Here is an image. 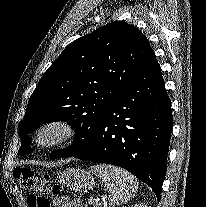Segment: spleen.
<instances>
[{
    "instance_id": "obj_1",
    "label": "spleen",
    "mask_w": 206,
    "mask_h": 207,
    "mask_svg": "<svg viewBox=\"0 0 206 207\" xmlns=\"http://www.w3.org/2000/svg\"><path fill=\"white\" fill-rule=\"evenodd\" d=\"M89 170L104 182L112 204H125L135 196L138 180L126 170L105 164L91 166Z\"/></svg>"
}]
</instances>
